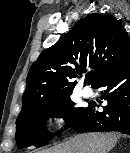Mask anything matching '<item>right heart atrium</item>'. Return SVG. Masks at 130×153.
I'll use <instances>...</instances> for the list:
<instances>
[{"instance_id":"1","label":"right heart atrium","mask_w":130,"mask_h":153,"mask_svg":"<svg viewBox=\"0 0 130 153\" xmlns=\"http://www.w3.org/2000/svg\"><path fill=\"white\" fill-rule=\"evenodd\" d=\"M51 122L55 129L61 130L69 122V114L64 109H57L51 115Z\"/></svg>"}]
</instances>
